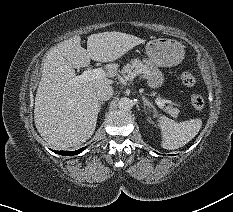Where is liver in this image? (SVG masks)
Instances as JSON below:
<instances>
[{
  "instance_id": "1",
  "label": "liver",
  "mask_w": 233,
  "mask_h": 212,
  "mask_svg": "<svg viewBox=\"0 0 233 212\" xmlns=\"http://www.w3.org/2000/svg\"><path fill=\"white\" fill-rule=\"evenodd\" d=\"M80 36H73L51 48L42 63V77L35 97L34 121L39 134L55 149L79 146L94 133L100 111L95 89L112 85L117 74L110 65L104 77L69 84L76 76L74 68L86 67L90 59L113 62L145 40L122 32L92 34L87 50Z\"/></svg>"
}]
</instances>
